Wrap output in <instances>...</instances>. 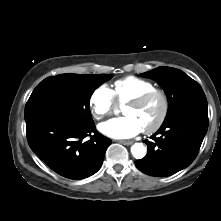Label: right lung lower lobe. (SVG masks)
<instances>
[{
  "instance_id": "right-lung-lower-lobe-1",
  "label": "right lung lower lobe",
  "mask_w": 221,
  "mask_h": 221,
  "mask_svg": "<svg viewBox=\"0 0 221 221\" xmlns=\"http://www.w3.org/2000/svg\"><path fill=\"white\" fill-rule=\"evenodd\" d=\"M95 124L81 125L57 113L44 112L26 120L27 139L33 152L57 174L84 179L102 166L112 141L95 133Z\"/></svg>"
}]
</instances>
